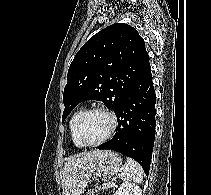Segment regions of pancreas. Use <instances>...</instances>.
<instances>
[{
	"label": "pancreas",
	"instance_id": "obj_1",
	"mask_svg": "<svg viewBox=\"0 0 211 195\" xmlns=\"http://www.w3.org/2000/svg\"><path fill=\"white\" fill-rule=\"evenodd\" d=\"M111 187L112 186H110V183H104L101 186H99V189L100 190H105V189H108V188H111Z\"/></svg>",
	"mask_w": 211,
	"mask_h": 195
}]
</instances>
